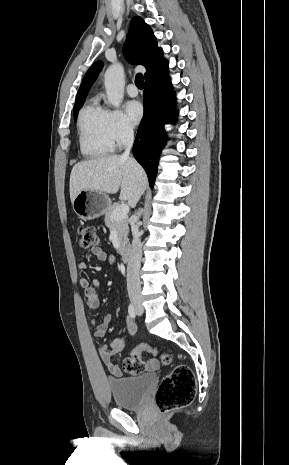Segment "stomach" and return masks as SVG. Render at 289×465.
<instances>
[{
	"label": "stomach",
	"instance_id": "0dacf381",
	"mask_svg": "<svg viewBox=\"0 0 289 465\" xmlns=\"http://www.w3.org/2000/svg\"><path fill=\"white\" fill-rule=\"evenodd\" d=\"M111 205L110 198L102 192L83 190L72 202L73 210L82 220H93L102 216Z\"/></svg>",
	"mask_w": 289,
	"mask_h": 465
}]
</instances>
